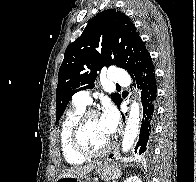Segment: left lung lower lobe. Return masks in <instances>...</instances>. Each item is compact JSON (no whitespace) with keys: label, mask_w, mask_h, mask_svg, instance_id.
I'll list each match as a JSON object with an SVG mask.
<instances>
[{"label":"left lung lower lobe","mask_w":196,"mask_h":182,"mask_svg":"<svg viewBox=\"0 0 196 182\" xmlns=\"http://www.w3.org/2000/svg\"><path fill=\"white\" fill-rule=\"evenodd\" d=\"M131 77L136 82L137 87L141 89V101L143 106L140 134L135 147V153L141 158H148L151 153V146L154 138L157 110L156 76L150 54L144 59L138 70L134 72ZM120 103L118 104V107ZM112 156L113 155L111 154L109 157Z\"/></svg>","instance_id":"left-lung-lower-lobe-1"}]
</instances>
